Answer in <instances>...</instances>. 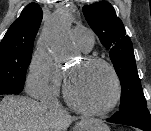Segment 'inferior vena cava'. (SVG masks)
Returning <instances> with one entry per match:
<instances>
[{"label": "inferior vena cava", "instance_id": "obj_1", "mask_svg": "<svg viewBox=\"0 0 151 131\" xmlns=\"http://www.w3.org/2000/svg\"><path fill=\"white\" fill-rule=\"evenodd\" d=\"M42 106L49 109H59L61 107L60 102L54 94H47L41 100Z\"/></svg>", "mask_w": 151, "mask_h": 131}]
</instances>
